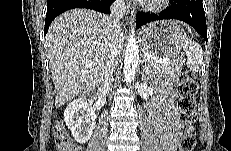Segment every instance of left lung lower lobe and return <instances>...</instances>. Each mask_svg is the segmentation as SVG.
Returning a JSON list of instances; mask_svg holds the SVG:
<instances>
[{
  "label": "left lung lower lobe",
  "mask_w": 231,
  "mask_h": 151,
  "mask_svg": "<svg viewBox=\"0 0 231 151\" xmlns=\"http://www.w3.org/2000/svg\"><path fill=\"white\" fill-rule=\"evenodd\" d=\"M175 7H168L159 14L139 12L136 26L163 19H177L191 25L207 42L206 18L202 0H180Z\"/></svg>",
  "instance_id": "1"
}]
</instances>
